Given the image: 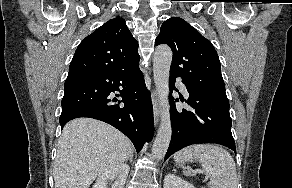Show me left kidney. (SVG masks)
<instances>
[{"instance_id": "left-kidney-1", "label": "left kidney", "mask_w": 292, "mask_h": 188, "mask_svg": "<svg viewBox=\"0 0 292 188\" xmlns=\"http://www.w3.org/2000/svg\"><path fill=\"white\" fill-rule=\"evenodd\" d=\"M164 188H195L189 182L181 179L174 174H168L164 178Z\"/></svg>"}]
</instances>
